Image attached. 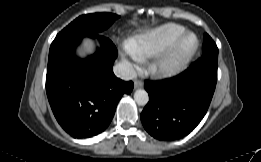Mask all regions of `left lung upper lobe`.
<instances>
[{
	"label": "left lung upper lobe",
	"mask_w": 261,
	"mask_h": 162,
	"mask_svg": "<svg viewBox=\"0 0 261 162\" xmlns=\"http://www.w3.org/2000/svg\"><path fill=\"white\" fill-rule=\"evenodd\" d=\"M202 52L204 53H214L218 54V48L215 44V42L212 40V38L208 34H204L203 38V47H202Z\"/></svg>",
	"instance_id": "left-lung-upper-lobe-1"
}]
</instances>
